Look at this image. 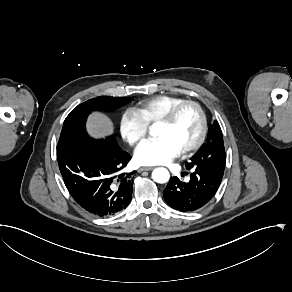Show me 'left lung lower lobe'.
Returning a JSON list of instances; mask_svg holds the SVG:
<instances>
[{
  "label": "left lung lower lobe",
  "mask_w": 292,
  "mask_h": 292,
  "mask_svg": "<svg viewBox=\"0 0 292 292\" xmlns=\"http://www.w3.org/2000/svg\"><path fill=\"white\" fill-rule=\"evenodd\" d=\"M190 180L181 181L178 177H171L163 191L167 204L180 212H192L205 206L217 192L223 174L205 173L190 168Z\"/></svg>",
  "instance_id": "left-lung-lower-lobe-1"
}]
</instances>
